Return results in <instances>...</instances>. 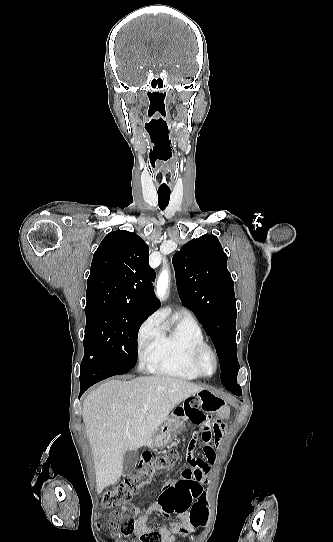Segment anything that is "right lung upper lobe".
I'll use <instances>...</instances> for the list:
<instances>
[{
  "label": "right lung upper lobe",
  "instance_id": "obj_1",
  "mask_svg": "<svg viewBox=\"0 0 333 542\" xmlns=\"http://www.w3.org/2000/svg\"><path fill=\"white\" fill-rule=\"evenodd\" d=\"M149 247L125 230L105 236L95 251L87 280L86 307L116 306L152 314L160 307L149 266Z\"/></svg>",
  "mask_w": 333,
  "mask_h": 542
}]
</instances>
